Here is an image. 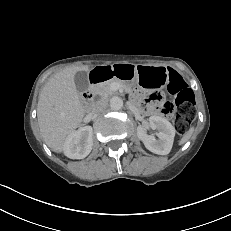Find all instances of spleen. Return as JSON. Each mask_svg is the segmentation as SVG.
Wrapping results in <instances>:
<instances>
[{"instance_id": "1", "label": "spleen", "mask_w": 231, "mask_h": 231, "mask_svg": "<svg viewBox=\"0 0 231 231\" xmlns=\"http://www.w3.org/2000/svg\"><path fill=\"white\" fill-rule=\"evenodd\" d=\"M193 132H194L193 128H191L188 132H186L184 136L181 138V140L179 141V145L185 144L191 138Z\"/></svg>"}]
</instances>
